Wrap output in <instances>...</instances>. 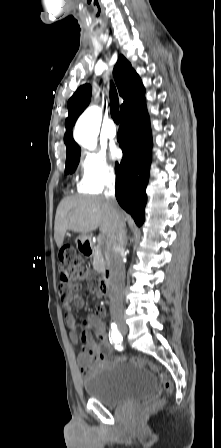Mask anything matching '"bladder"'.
<instances>
[{"label":"bladder","instance_id":"31cf9c89","mask_svg":"<svg viewBox=\"0 0 221 448\" xmlns=\"http://www.w3.org/2000/svg\"><path fill=\"white\" fill-rule=\"evenodd\" d=\"M88 398L116 407L153 395L155 382L145 368L129 362L111 363L82 381Z\"/></svg>","mask_w":221,"mask_h":448}]
</instances>
